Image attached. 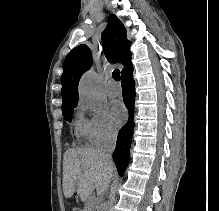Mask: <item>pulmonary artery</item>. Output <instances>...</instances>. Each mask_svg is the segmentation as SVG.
Instances as JSON below:
<instances>
[{
  "label": "pulmonary artery",
  "instance_id": "obj_1",
  "mask_svg": "<svg viewBox=\"0 0 219 211\" xmlns=\"http://www.w3.org/2000/svg\"><path fill=\"white\" fill-rule=\"evenodd\" d=\"M106 92L108 93L109 96H118V95H120L121 92H122L121 84L116 82V81L110 82L107 85Z\"/></svg>",
  "mask_w": 219,
  "mask_h": 211
}]
</instances>
